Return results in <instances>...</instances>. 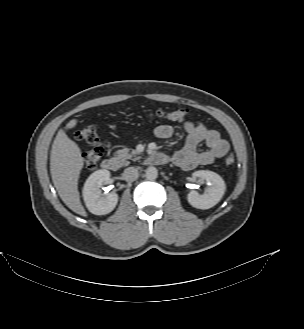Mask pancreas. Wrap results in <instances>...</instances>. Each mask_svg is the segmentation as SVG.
Wrapping results in <instances>:
<instances>
[{
	"label": "pancreas",
	"mask_w": 304,
	"mask_h": 329,
	"mask_svg": "<svg viewBox=\"0 0 304 329\" xmlns=\"http://www.w3.org/2000/svg\"><path fill=\"white\" fill-rule=\"evenodd\" d=\"M114 156L123 166L128 165L130 163L129 160L137 161L141 158L136 150L128 148L116 151Z\"/></svg>",
	"instance_id": "1"
}]
</instances>
